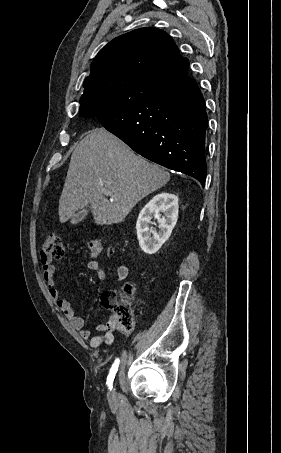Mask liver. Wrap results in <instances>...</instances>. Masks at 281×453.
I'll list each match as a JSON object with an SVG mask.
<instances>
[{
	"label": "liver",
	"instance_id": "6515ba94",
	"mask_svg": "<svg viewBox=\"0 0 281 453\" xmlns=\"http://www.w3.org/2000/svg\"><path fill=\"white\" fill-rule=\"evenodd\" d=\"M168 180L166 168L138 156L105 128H92L72 152L59 198V220L66 222L89 204L96 224L121 222L139 200ZM102 188L117 198L109 200Z\"/></svg>",
	"mask_w": 281,
	"mask_h": 453
}]
</instances>
